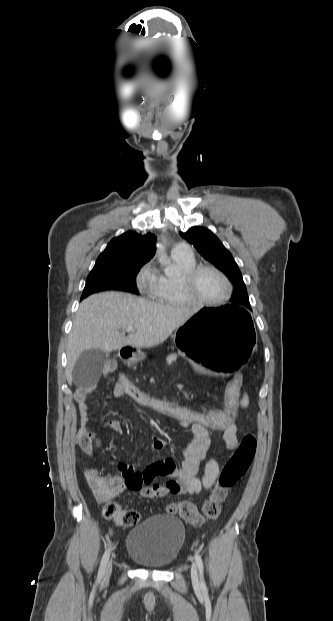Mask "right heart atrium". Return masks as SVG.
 I'll use <instances>...</instances> for the list:
<instances>
[{"label":"right heart atrium","instance_id":"d8ad5b80","mask_svg":"<svg viewBox=\"0 0 333 621\" xmlns=\"http://www.w3.org/2000/svg\"><path fill=\"white\" fill-rule=\"evenodd\" d=\"M158 277L150 265H145L137 276V286L140 291L152 295L157 287Z\"/></svg>","mask_w":333,"mask_h":621}]
</instances>
